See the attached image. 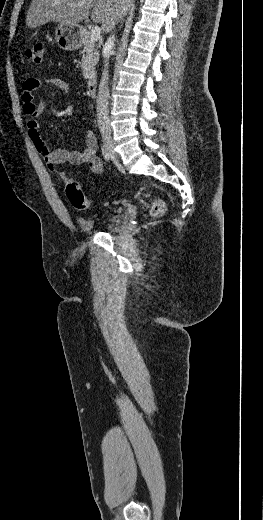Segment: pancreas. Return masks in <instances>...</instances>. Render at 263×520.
<instances>
[{
    "mask_svg": "<svg viewBox=\"0 0 263 520\" xmlns=\"http://www.w3.org/2000/svg\"><path fill=\"white\" fill-rule=\"evenodd\" d=\"M82 46L85 53L81 64L83 77L85 79H92L95 77V66L99 59L98 46L90 40L89 36H85L82 39Z\"/></svg>",
    "mask_w": 263,
    "mask_h": 520,
    "instance_id": "1",
    "label": "pancreas"
}]
</instances>
